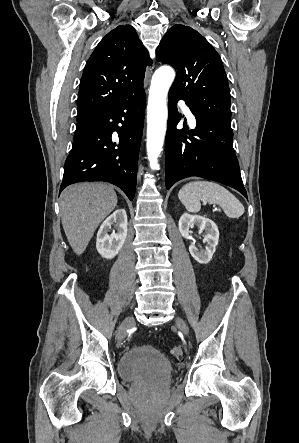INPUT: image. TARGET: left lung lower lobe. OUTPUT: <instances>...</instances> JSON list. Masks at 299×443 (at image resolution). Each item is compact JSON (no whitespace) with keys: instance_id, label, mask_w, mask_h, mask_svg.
<instances>
[{"instance_id":"0a47b994","label":"left lung lower lobe","mask_w":299,"mask_h":443,"mask_svg":"<svg viewBox=\"0 0 299 443\" xmlns=\"http://www.w3.org/2000/svg\"><path fill=\"white\" fill-rule=\"evenodd\" d=\"M180 99L169 92L165 145L167 189L178 180L198 176L228 185L247 197L233 149L230 125L198 113L187 104L196 117V128L178 130L176 126L181 114H178L176 102Z\"/></svg>"}]
</instances>
